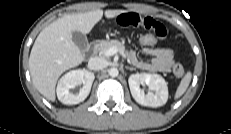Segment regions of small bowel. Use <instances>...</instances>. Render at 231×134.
<instances>
[{
	"label": "small bowel",
	"instance_id": "obj_1",
	"mask_svg": "<svg viewBox=\"0 0 231 134\" xmlns=\"http://www.w3.org/2000/svg\"><path fill=\"white\" fill-rule=\"evenodd\" d=\"M115 23L125 29H143L159 39L167 36L166 27L150 16H141L136 12H121L115 16ZM144 53L151 56L150 60H139L132 51L128 52V59L138 68L147 71L167 72L173 62V52L163 47H146Z\"/></svg>",
	"mask_w": 231,
	"mask_h": 134
}]
</instances>
